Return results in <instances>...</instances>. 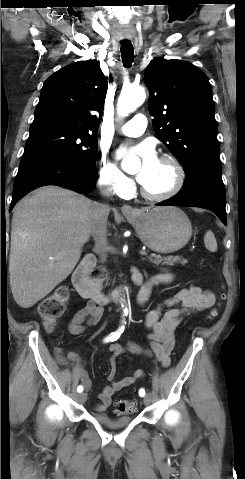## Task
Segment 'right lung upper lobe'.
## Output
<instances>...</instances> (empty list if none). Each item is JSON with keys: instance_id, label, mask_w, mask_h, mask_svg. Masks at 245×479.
<instances>
[{"instance_id": "cb5924a9", "label": "right lung upper lobe", "mask_w": 245, "mask_h": 479, "mask_svg": "<svg viewBox=\"0 0 245 479\" xmlns=\"http://www.w3.org/2000/svg\"><path fill=\"white\" fill-rule=\"evenodd\" d=\"M107 88V77L97 61L61 68L45 81L30 127L63 125L96 132Z\"/></svg>"}]
</instances>
